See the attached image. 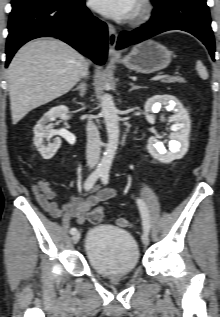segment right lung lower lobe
I'll list each match as a JSON object with an SVG mask.
<instances>
[{
    "label": "right lung lower lobe",
    "instance_id": "right-lung-lower-lobe-1",
    "mask_svg": "<svg viewBox=\"0 0 220 317\" xmlns=\"http://www.w3.org/2000/svg\"><path fill=\"white\" fill-rule=\"evenodd\" d=\"M6 67L15 52L38 37H56L96 64L106 61L107 26L85 7L84 0L71 3H33L12 9L8 24Z\"/></svg>",
    "mask_w": 220,
    "mask_h": 317
}]
</instances>
